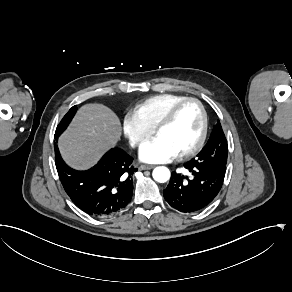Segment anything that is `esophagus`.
Here are the masks:
<instances>
[{
    "label": "esophagus",
    "instance_id": "1",
    "mask_svg": "<svg viewBox=\"0 0 292 292\" xmlns=\"http://www.w3.org/2000/svg\"><path fill=\"white\" fill-rule=\"evenodd\" d=\"M154 167H155L154 165L143 164V165L139 166V170H150V169H153Z\"/></svg>",
    "mask_w": 292,
    "mask_h": 292
}]
</instances>
